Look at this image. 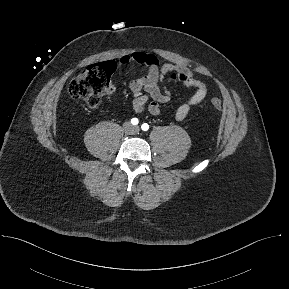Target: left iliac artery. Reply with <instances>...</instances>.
<instances>
[{
  "mask_svg": "<svg viewBox=\"0 0 289 289\" xmlns=\"http://www.w3.org/2000/svg\"><path fill=\"white\" fill-rule=\"evenodd\" d=\"M143 131H147L149 129V125L147 123L142 124L141 126Z\"/></svg>",
  "mask_w": 289,
  "mask_h": 289,
  "instance_id": "left-iliac-artery-1",
  "label": "left iliac artery"
}]
</instances>
